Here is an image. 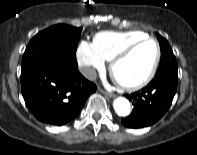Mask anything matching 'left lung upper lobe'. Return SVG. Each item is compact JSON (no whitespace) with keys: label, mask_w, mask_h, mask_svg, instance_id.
<instances>
[{"label":"left lung upper lobe","mask_w":197,"mask_h":155,"mask_svg":"<svg viewBox=\"0 0 197 155\" xmlns=\"http://www.w3.org/2000/svg\"><path fill=\"white\" fill-rule=\"evenodd\" d=\"M156 36L158 38L161 49L160 66L157 70L156 76L165 73L177 75V62L170 45L168 44L166 39H164L158 33H156Z\"/></svg>","instance_id":"1"}]
</instances>
